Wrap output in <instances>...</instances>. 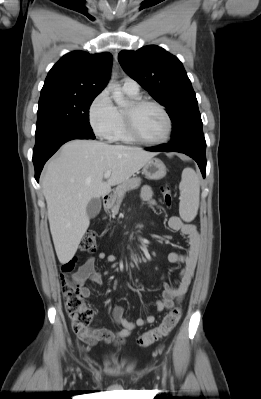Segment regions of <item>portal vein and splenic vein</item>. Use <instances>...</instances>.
<instances>
[{
  "mask_svg": "<svg viewBox=\"0 0 261 399\" xmlns=\"http://www.w3.org/2000/svg\"><path fill=\"white\" fill-rule=\"evenodd\" d=\"M110 175H111V171H106L104 174V178L108 179L110 177Z\"/></svg>",
  "mask_w": 261,
  "mask_h": 399,
  "instance_id": "1",
  "label": "portal vein and splenic vein"
}]
</instances>
